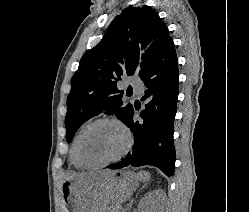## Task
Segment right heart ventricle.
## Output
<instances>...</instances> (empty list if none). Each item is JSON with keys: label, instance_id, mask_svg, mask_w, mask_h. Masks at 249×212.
<instances>
[{"label": "right heart ventricle", "instance_id": "right-heart-ventricle-1", "mask_svg": "<svg viewBox=\"0 0 249 212\" xmlns=\"http://www.w3.org/2000/svg\"><path fill=\"white\" fill-rule=\"evenodd\" d=\"M82 130V129H81ZM79 130L76 135L74 136L73 138V141L70 145V148H69V155H68V158H69V163L70 165L74 168V169H81L82 167L77 163L76 159H75V156H74V144H75V140L78 136V134L80 133Z\"/></svg>", "mask_w": 249, "mask_h": 212}]
</instances>
